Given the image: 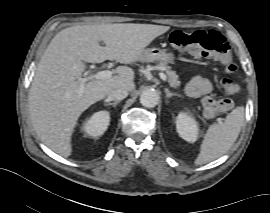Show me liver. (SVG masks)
Wrapping results in <instances>:
<instances>
[{
	"mask_svg": "<svg viewBox=\"0 0 270 213\" xmlns=\"http://www.w3.org/2000/svg\"><path fill=\"white\" fill-rule=\"evenodd\" d=\"M169 29L126 23L77 25L58 32L41 57L29 92L30 117L42 142L57 154L70 156L71 136L80 115L114 89H135L134 71L119 67L115 76L85 82L79 94L84 62L134 64L145 47ZM100 41L106 46H100Z\"/></svg>",
	"mask_w": 270,
	"mask_h": 213,
	"instance_id": "liver-1",
	"label": "liver"
}]
</instances>
